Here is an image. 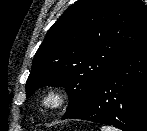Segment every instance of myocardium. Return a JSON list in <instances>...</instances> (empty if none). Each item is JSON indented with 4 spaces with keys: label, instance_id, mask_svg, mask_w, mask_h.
Instances as JSON below:
<instances>
[{
    "label": "myocardium",
    "instance_id": "f54148a6",
    "mask_svg": "<svg viewBox=\"0 0 147 131\" xmlns=\"http://www.w3.org/2000/svg\"><path fill=\"white\" fill-rule=\"evenodd\" d=\"M38 101L42 109L46 111H57L67 104L68 94L60 87L51 86L40 93Z\"/></svg>",
    "mask_w": 147,
    "mask_h": 131
}]
</instances>
